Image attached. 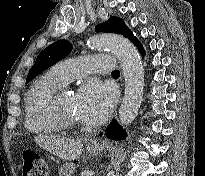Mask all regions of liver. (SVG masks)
Masks as SVG:
<instances>
[{
    "label": "liver",
    "mask_w": 205,
    "mask_h": 176,
    "mask_svg": "<svg viewBox=\"0 0 205 176\" xmlns=\"http://www.w3.org/2000/svg\"><path fill=\"white\" fill-rule=\"evenodd\" d=\"M35 142L61 159L69 161L79 158L83 150V140L74 141L59 136L40 135L35 138Z\"/></svg>",
    "instance_id": "liver-1"
}]
</instances>
